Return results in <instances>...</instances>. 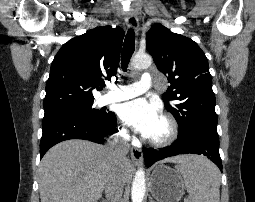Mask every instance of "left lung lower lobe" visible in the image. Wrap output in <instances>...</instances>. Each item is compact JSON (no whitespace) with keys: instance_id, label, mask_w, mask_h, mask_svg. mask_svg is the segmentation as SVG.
Instances as JSON below:
<instances>
[{"instance_id":"0a47b994","label":"left lung lower lobe","mask_w":255,"mask_h":202,"mask_svg":"<svg viewBox=\"0 0 255 202\" xmlns=\"http://www.w3.org/2000/svg\"><path fill=\"white\" fill-rule=\"evenodd\" d=\"M199 154L208 157L222 171L219 155V137L212 133H198L186 137H178L177 141L164 148H148L144 152L146 166L149 167L158 160L179 155Z\"/></svg>"}]
</instances>
